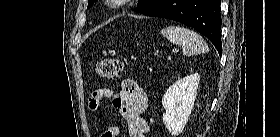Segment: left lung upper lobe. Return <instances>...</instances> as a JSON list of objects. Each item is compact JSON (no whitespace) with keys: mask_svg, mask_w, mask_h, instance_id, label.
Here are the masks:
<instances>
[{"mask_svg":"<svg viewBox=\"0 0 280 137\" xmlns=\"http://www.w3.org/2000/svg\"><path fill=\"white\" fill-rule=\"evenodd\" d=\"M96 0H88V7H90ZM162 0H139L138 6L134 8L133 10L138 13H146L150 9H152L154 6H156L159 2Z\"/></svg>","mask_w":280,"mask_h":137,"instance_id":"left-lung-upper-lobe-1","label":"left lung upper lobe"}]
</instances>
